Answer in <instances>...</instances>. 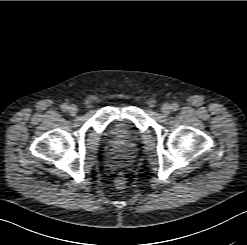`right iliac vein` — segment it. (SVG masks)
I'll list each match as a JSON object with an SVG mask.
<instances>
[{
	"instance_id": "1",
	"label": "right iliac vein",
	"mask_w": 247,
	"mask_h": 245,
	"mask_svg": "<svg viewBox=\"0 0 247 245\" xmlns=\"http://www.w3.org/2000/svg\"><path fill=\"white\" fill-rule=\"evenodd\" d=\"M77 107L75 105H70L69 108H68V113L71 115V116H75L77 114Z\"/></svg>"
}]
</instances>
